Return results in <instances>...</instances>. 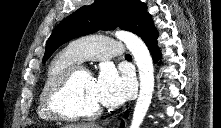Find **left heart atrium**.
Listing matches in <instances>:
<instances>
[{
	"mask_svg": "<svg viewBox=\"0 0 221 128\" xmlns=\"http://www.w3.org/2000/svg\"><path fill=\"white\" fill-rule=\"evenodd\" d=\"M92 85L100 105L106 107L120 105L133 90L131 78H121L110 66L101 68L97 78L92 80Z\"/></svg>",
	"mask_w": 221,
	"mask_h": 128,
	"instance_id": "left-heart-atrium-1",
	"label": "left heart atrium"
}]
</instances>
